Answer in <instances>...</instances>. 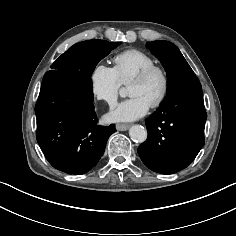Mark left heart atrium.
<instances>
[{
	"label": "left heart atrium",
	"mask_w": 236,
	"mask_h": 236,
	"mask_svg": "<svg viewBox=\"0 0 236 236\" xmlns=\"http://www.w3.org/2000/svg\"><path fill=\"white\" fill-rule=\"evenodd\" d=\"M151 105L139 96L121 102L108 114L111 121H133L144 116Z\"/></svg>",
	"instance_id": "39dd6f15"
}]
</instances>
